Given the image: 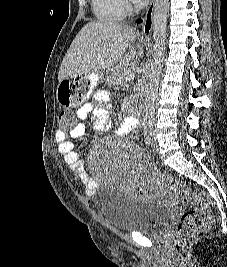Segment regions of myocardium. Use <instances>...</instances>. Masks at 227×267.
Masks as SVG:
<instances>
[{
	"instance_id": "1",
	"label": "myocardium",
	"mask_w": 227,
	"mask_h": 267,
	"mask_svg": "<svg viewBox=\"0 0 227 267\" xmlns=\"http://www.w3.org/2000/svg\"><path fill=\"white\" fill-rule=\"evenodd\" d=\"M122 5H123V9L128 12V13H133L135 11V9L133 8V6L129 3V0H121Z\"/></svg>"
}]
</instances>
